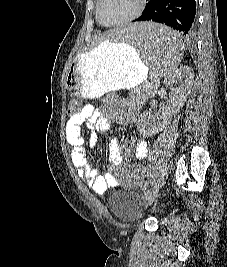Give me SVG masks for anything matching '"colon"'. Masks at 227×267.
Segmentation results:
<instances>
[{
    "mask_svg": "<svg viewBox=\"0 0 227 267\" xmlns=\"http://www.w3.org/2000/svg\"><path fill=\"white\" fill-rule=\"evenodd\" d=\"M69 109L67 111L68 115H80L82 112V105H79L78 100H73L69 106Z\"/></svg>",
    "mask_w": 227,
    "mask_h": 267,
    "instance_id": "5ec220e1",
    "label": "colon"
}]
</instances>
